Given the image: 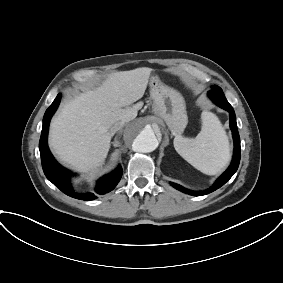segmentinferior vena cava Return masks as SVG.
Listing matches in <instances>:
<instances>
[{"instance_id": "inferior-vena-cava-1", "label": "inferior vena cava", "mask_w": 283, "mask_h": 283, "mask_svg": "<svg viewBox=\"0 0 283 283\" xmlns=\"http://www.w3.org/2000/svg\"><path fill=\"white\" fill-rule=\"evenodd\" d=\"M124 123L123 122H116L114 123L111 128H110V132L112 134L116 133L117 131H119L122 127H123Z\"/></svg>"}]
</instances>
